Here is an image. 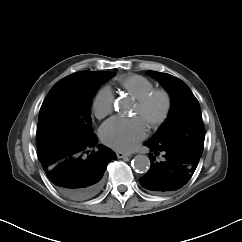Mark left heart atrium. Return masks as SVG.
Wrapping results in <instances>:
<instances>
[{
  "label": "left heart atrium",
  "mask_w": 242,
  "mask_h": 242,
  "mask_svg": "<svg viewBox=\"0 0 242 242\" xmlns=\"http://www.w3.org/2000/svg\"><path fill=\"white\" fill-rule=\"evenodd\" d=\"M100 133L103 141L110 147L129 152L144 139L146 129L138 118L115 116L102 125Z\"/></svg>",
  "instance_id": "1"
}]
</instances>
